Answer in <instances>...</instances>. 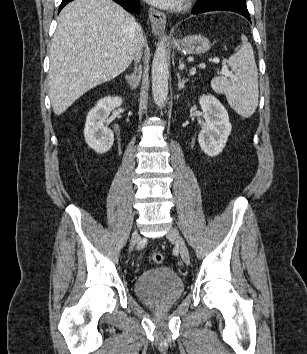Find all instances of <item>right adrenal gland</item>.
<instances>
[{"instance_id":"obj_1","label":"right adrenal gland","mask_w":307,"mask_h":354,"mask_svg":"<svg viewBox=\"0 0 307 354\" xmlns=\"http://www.w3.org/2000/svg\"><path fill=\"white\" fill-rule=\"evenodd\" d=\"M125 79L131 89H136L139 86L141 79V66L139 65L138 67H135L134 73L131 75H126Z\"/></svg>"}]
</instances>
